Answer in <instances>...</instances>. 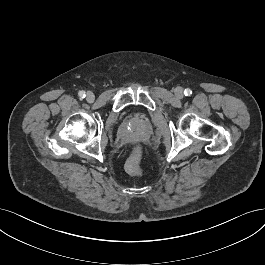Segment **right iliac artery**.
<instances>
[{
    "mask_svg": "<svg viewBox=\"0 0 265 265\" xmlns=\"http://www.w3.org/2000/svg\"><path fill=\"white\" fill-rule=\"evenodd\" d=\"M78 96L80 97V99H83V98H85L86 94H85L84 91H80V92L78 93Z\"/></svg>",
    "mask_w": 265,
    "mask_h": 265,
    "instance_id": "right-iliac-artery-1",
    "label": "right iliac artery"
}]
</instances>
